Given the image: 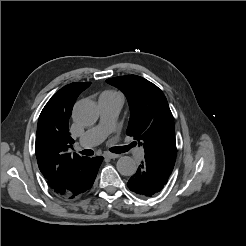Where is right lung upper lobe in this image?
Wrapping results in <instances>:
<instances>
[{
  "label": "right lung upper lobe",
  "instance_id": "1",
  "mask_svg": "<svg viewBox=\"0 0 246 246\" xmlns=\"http://www.w3.org/2000/svg\"><path fill=\"white\" fill-rule=\"evenodd\" d=\"M90 82L68 84L55 93L43 108L37 126L35 153L39 169L56 192H63L67 183L88 157L71 155L68 149L74 140L69 133V118L79 94Z\"/></svg>",
  "mask_w": 246,
  "mask_h": 246
}]
</instances>
